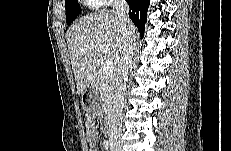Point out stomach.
I'll use <instances>...</instances> for the list:
<instances>
[{"instance_id":"obj_1","label":"stomach","mask_w":231,"mask_h":151,"mask_svg":"<svg viewBox=\"0 0 231 151\" xmlns=\"http://www.w3.org/2000/svg\"><path fill=\"white\" fill-rule=\"evenodd\" d=\"M97 100V90L95 87L90 86L82 95V106L84 108H91Z\"/></svg>"}]
</instances>
